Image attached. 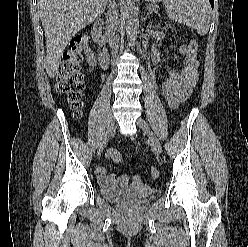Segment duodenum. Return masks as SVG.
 Returning <instances> with one entry per match:
<instances>
[{
    "label": "duodenum",
    "mask_w": 248,
    "mask_h": 247,
    "mask_svg": "<svg viewBox=\"0 0 248 247\" xmlns=\"http://www.w3.org/2000/svg\"><path fill=\"white\" fill-rule=\"evenodd\" d=\"M92 33L96 45L100 52V61L104 68H107L110 62V53L106 48V39L103 35V23L96 22L92 28Z\"/></svg>",
    "instance_id": "obj_1"
}]
</instances>
